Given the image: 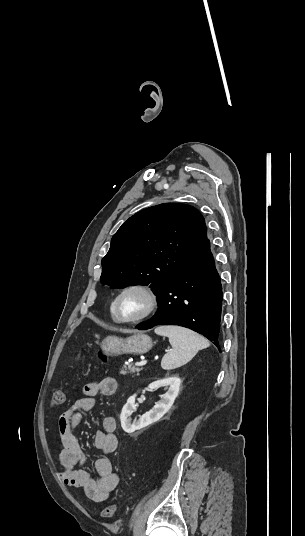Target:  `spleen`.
<instances>
[{
    "label": "spleen",
    "mask_w": 305,
    "mask_h": 536,
    "mask_svg": "<svg viewBox=\"0 0 305 536\" xmlns=\"http://www.w3.org/2000/svg\"><path fill=\"white\" fill-rule=\"evenodd\" d=\"M155 334L166 336L173 348L167 352L161 360L163 370H176L188 364L199 350L209 348L210 344L206 338L199 336L192 330L181 328V326H159L155 328Z\"/></svg>",
    "instance_id": "3e777b00"
}]
</instances>
